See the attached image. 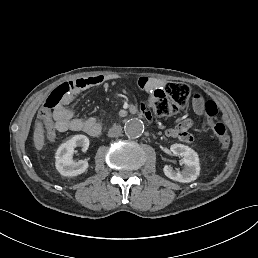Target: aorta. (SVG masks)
<instances>
[{"instance_id":"aorta-1","label":"aorta","mask_w":258,"mask_h":258,"mask_svg":"<svg viewBox=\"0 0 258 258\" xmlns=\"http://www.w3.org/2000/svg\"><path fill=\"white\" fill-rule=\"evenodd\" d=\"M124 131L129 138H138L144 132V123L138 118H132L125 123Z\"/></svg>"}]
</instances>
